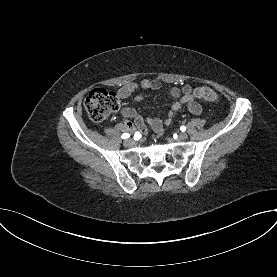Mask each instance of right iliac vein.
Instances as JSON below:
<instances>
[{
	"instance_id": "63e3f726",
	"label": "right iliac vein",
	"mask_w": 277,
	"mask_h": 277,
	"mask_svg": "<svg viewBox=\"0 0 277 277\" xmlns=\"http://www.w3.org/2000/svg\"><path fill=\"white\" fill-rule=\"evenodd\" d=\"M123 144H124L125 147H133L134 141L132 139H127V140L124 141Z\"/></svg>"
}]
</instances>
